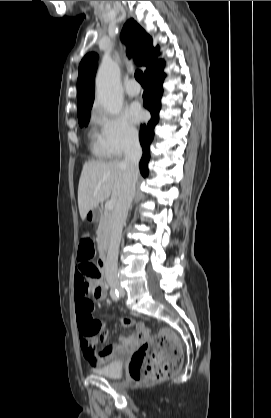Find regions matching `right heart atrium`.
<instances>
[{
    "label": "right heart atrium",
    "mask_w": 271,
    "mask_h": 418,
    "mask_svg": "<svg viewBox=\"0 0 271 418\" xmlns=\"http://www.w3.org/2000/svg\"><path fill=\"white\" fill-rule=\"evenodd\" d=\"M103 142L111 156H121L138 143V132L128 117L121 113L116 116L100 115Z\"/></svg>",
    "instance_id": "right-heart-atrium-1"
}]
</instances>
